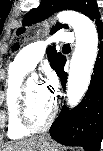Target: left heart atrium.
<instances>
[{"instance_id":"left-heart-atrium-1","label":"left heart atrium","mask_w":103,"mask_h":151,"mask_svg":"<svg viewBox=\"0 0 103 151\" xmlns=\"http://www.w3.org/2000/svg\"><path fill=\"white\" fill-rule=\"evenodd\" d=\"M46 95L53 99L54 93L57 88V79L54 75H50L48 81L41 86Z\"/></svg>"}]
</instances>
